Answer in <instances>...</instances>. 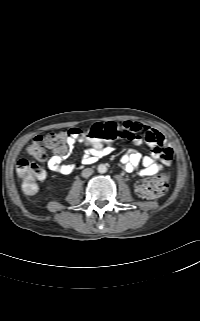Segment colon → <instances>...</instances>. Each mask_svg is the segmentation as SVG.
<instances>
[{
    "label": "colon",
    "instance_id": "1",
    "mask_svg": "<svg viewBox=\"0 0 200 321\" xmlns=\"http://www.w3.org/2000/svg\"><path fill=\"white\" fill-rule=\"evenodd\" d=\"M73 132L59 130L45 136H37L27 148V153L37 159L45 158V147L52 150H64L69 137ZM76 134L80 138L87 139L92 145H100L106 141H112L119 137L114 130H103L99 126L87 129H78ZM172 159V151H168L164 161L169 164ZM17 175L22 180L23 190L26 194H34L37 191V182L45 176L43 168L36 162L22 158L17 162ZM170 176L168 173H160L151 178L139 180L135 185L136 193L145 199H153L164 195L169 186Z\"/></svg>",
    "mask_w": 200,
    "mask_h": 321
}]
</instances>
